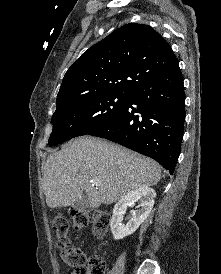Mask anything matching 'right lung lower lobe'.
Instances as JSON below:
<instances>
[{"mask_svg": "<svg viewBox=\"0 0 221 274\" xmlns=\"http://www.w3.org/2000/svg\"><path fill=\"white\" fill-rule=\"evenodd\" d=\"M184 121L183 77L177 62L137 88L108 123L89 135L149 156L173 174L181 150Z\"/></svg>", "mask_w": 221, "mask_h": 274, "instance_id": "1", "label": "right lung lower lobe"}]
</instances>
